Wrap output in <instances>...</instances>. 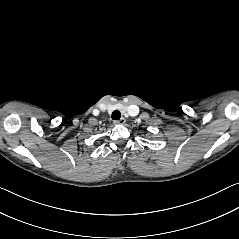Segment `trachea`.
Here are the masks:
<instances>
[{
	"instance_id": "obj_1",
	"label": "trachea",
	"mask_w": 239,
	"mask_h": 239,
	"mask_svg": "<svg viewBox=\"0 0 239 239\" xmlns=\"http://www.w3.org/2000/svg\"><path fill=\"white\" fill-rule=\"evenodd\" d=\"M120 118H121V113L118 110L113 111L112 119L113 120H119Z\"/></svg>"
}]
</instances>
